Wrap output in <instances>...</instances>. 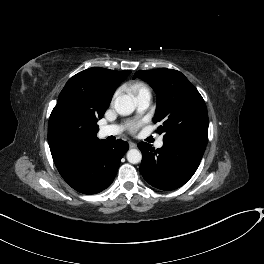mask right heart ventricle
<instances>
[{
    "label": "right heart ventricle",
    "mask_w": 264,
    "mask_h": 264,
    "mask_svg": "<svg viewBox=\"0 0 264 264\" xmlns=\"http://www.w3.org/2000/svg\"><path fill=\"white\" fill-rule=\"evenodd\" d=\"M130 88L135 92L136 96L141 93H150L149 88L141 82L131 84Z\"/></svg>",
    "instance_id": "obj_1"
}]
</instances>
